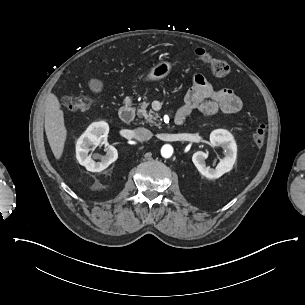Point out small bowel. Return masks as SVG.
<instances>
[{
    "label": "small bowel",
    "mask_w": 305,
    "mask_h": 305,
    "mask_svg": "<svg viewBox=\"0 0 305 305\" xmlns=\"http://www.w3.org/2000/svg\"><path fill=\"white\" fill-rule=\"evenodd\" d=\"M241 107L242 102L233 90L215 89L203 75L196 74L192 78L191 87L178 114L186 117L194 110H199L206 115L233 114Z\"/></svg>",
    "instance_id": "1"
}]
</instances>
